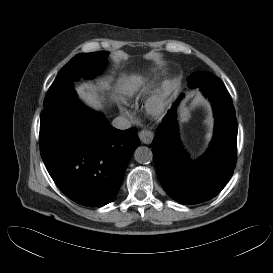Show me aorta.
<instances>
[{
    "label": "aorta",
    "instance_id": "aorta-1",
    "mask_svg": "<svg viewBox=\"0 0 273 273\" xmlns=\"http://www.w3.org/2000/svg\"><path fill=\"white\" fill-rule=\"evenodd\" d=\"M134 158L140 164H148L153 160L152 150L146 146H140L135 150Z\"/></svg>",
    "mask_w": 273,
    "mask_h": 273
}]
</instances>
